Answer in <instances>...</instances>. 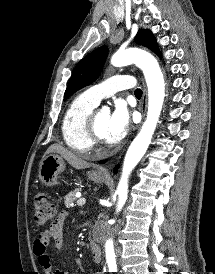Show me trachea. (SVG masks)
<instances>
[{
	"label": "trachea",
	"instance_id": "1",
	"mask_svg": "<svg viewBox=\"0 0 215 274\" xmlns=\"http://www.w3.org/2000/svg\"><path fill=\"white\" fill-rule=\"evenodd\" d=\"M135 96L136 97H141L142 96V90L141 89H136L135 90Z\"/></svg>",
	"mask_w": 215,
	"mask_h": 274
}]
</instances>
